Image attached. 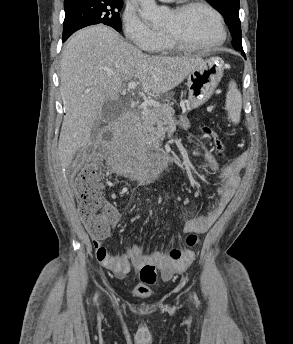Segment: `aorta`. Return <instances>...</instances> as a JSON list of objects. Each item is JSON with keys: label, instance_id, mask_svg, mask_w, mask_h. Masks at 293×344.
<instances>
[{"label": "aorta", "instance_id": "1", "mask_svg": "<svg viewBox=\"0 0 293 344\" xmlns=\"http://www.w3.org/2000/svg\"><path fill=\"white\" fill-rule=\"evenodd\" d=\"M141 6L140 15L145 21H149L153 26H160L166 17L167 8L158 6L155 0H139Z\"/></svg>", "mask_w": 293, "mask_h": 344}]
</instances>
